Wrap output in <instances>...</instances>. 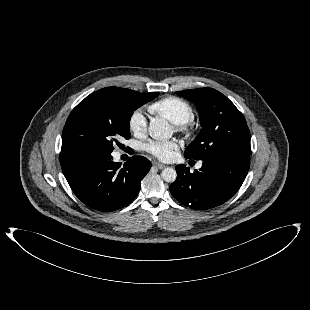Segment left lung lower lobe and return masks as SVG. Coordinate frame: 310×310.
I'll return each mask as SVG.
<instances>
[{"mask_svg": "<svg viewBox=\"0 0 310 310\" xmlns=\"http://www.w3.org/2000/svg\"><path fill=\"white\" fill-rule=\"evenodd\" d=\"M250 167L248 156L219 155L204 160L199 171L190 173L177 165V179L169 189L180 203L204 210L229 200L241 187Z\"/></svg>", "mask_w": 310, "mask_h": 310, "instance_id": "left-lung-lower-lobe-1", "label": "left lung lower lobe"}]
</instances>
